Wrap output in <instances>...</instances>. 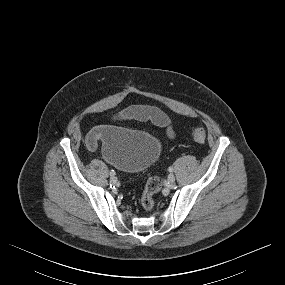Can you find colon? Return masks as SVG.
Segmentation results:
<instances>
[{
    "label": "colon",
    "mask_w": 285,
    "mask_h": 285,
    "mask_svg": "<svg viewBox=\"0 0 285 285\" xmlns=\"http://www.w3.org/2000/svg\"><path fill=\"white\" fill-rule=\"evenodd\" d=\"M190 135L197 143H203L206 138V132L203 126L198 125L191 129ZM161 180L159 177H151L145 186L141 197V205L145 210H151L154 207L153 196L160 190Z\"/></svg>",
    "instance_id": "5ec220e1"
}]
</instances>
